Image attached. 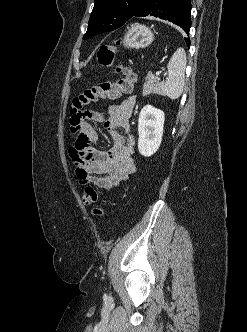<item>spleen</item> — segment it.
<instances>
[{"instance_id": "1", "label": "spleen", "mask_w": 247, "mask_h": 332, "mask_svg": "<svg viewBox=\"0 0 247 332\" xmlns=\"http://www.w3.org/2000/svg\"><path fill=\"white\" fill-rule=\"evenodd\" d=\"M185 68L186 53L183 48H178L168 62V77L159 84L157 93L172 100L179 98L184 88Z\"/></svg>"}]
</instances>
